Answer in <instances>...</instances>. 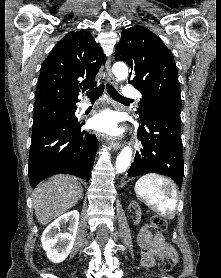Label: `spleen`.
<instances>
[{"instance_id":"spleen-1","label":"spleen","mask_w":221,"mask_h":278,"mask_svg":"<svg viewBox=\"0 0 221 278\" xmlns=\"http://www.w3.org/2000/svg\"><path fill=\"white\" fill-rule=\"evenodd\" d=\"M135 193L159 215L173 219L177 206V191L174 184L159 175L150 173L142 176L135 184Z\"/></svg>"}]
</instances>
